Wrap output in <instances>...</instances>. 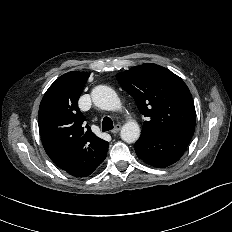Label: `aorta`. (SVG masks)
<instances>
[{"label":"aorta","instance_id":"762f6f07","mask_svg":"<svg viewBox=\"0 0 232 232\" xmlns=\"http://www.w3.org/2000/svg\"><path fill=\"white\" fill-rule=\"evenodd\" d=\"M93 103L103 110H118L121 107V102L116 92L105 85H98L91 92ZM120 136L123 141L133 143L140 137V127L134 121H128L121 128Z\"/></svg>","mask_w":232,"mask_h":232}]
</instances>
